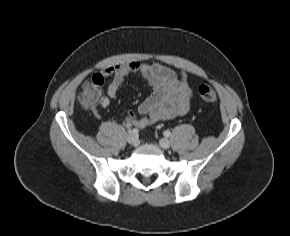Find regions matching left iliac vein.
<instances>
[{
    "mask_svg": "<svg viewBox=\"0 0 290 236\" xmlns=\"http://www.w3.org/2000/svg\"><path fill=\"white\" fill-rule=\"evenodd\" d=\"M159 144L163 149H168L171 145V142L167 138H162L160 139Z\"/></svg>",
    "mask_w": 290,
    "mask_h": 236,
    "instance_id": "4c4485c4",
    "label": "left iliac vein"
}]
</instances>
